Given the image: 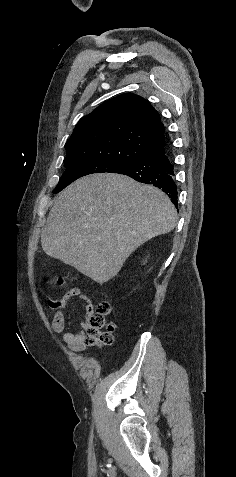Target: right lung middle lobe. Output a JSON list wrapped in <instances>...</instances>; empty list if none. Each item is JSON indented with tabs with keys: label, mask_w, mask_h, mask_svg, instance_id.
Instances as JSON below:
<instances>
[{
	"label": "right lung middle lobe",
	"mask_w": 236,
	"mask_h": 477,
	"mask_svg": "<svg viewBox=\"0 0 236 477\" xmlns=\"http://www.w3.org/2000/svg\"><path fill=\"white\" fill-rule=\"evenodd\" d=\"M139 159H141V157L136 156L131 160L135 162ZM64 163L67 169L60 178L59 183L54 190V193L61 191L70 183L82 176L93 173H114L119 168L127 165L124 161L101 157L74 159L70 161H65Z\"/></svg>",
	"instance_id": "obj_1"
}]
</instances>
